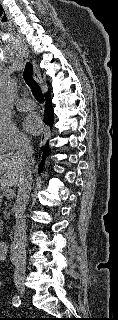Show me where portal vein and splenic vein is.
<instances>
[{
  "mask_svg": "<svg viewBox=\"0 0 118 320\" xmlns=\"http://www.w3.org/2000/svg\"><path fill=\"white\" fill-rule=\"evenodd\" d=\"M4 195L7 199H11L14 197V191L11 188H7L4 192Z\"/></svg>",
  "mask_w": 118,
  "mask_h": 320,
  "instance_id": "18ae733b",
  "label": "portal vein and splenic vein"
}]
</instances>
